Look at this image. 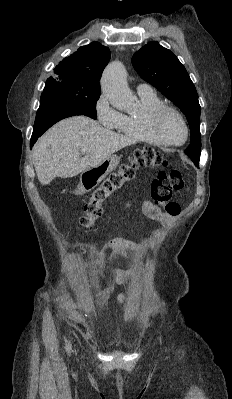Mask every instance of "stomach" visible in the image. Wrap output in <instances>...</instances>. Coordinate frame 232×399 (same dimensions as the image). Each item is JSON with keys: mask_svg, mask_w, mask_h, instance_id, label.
<instances>
[{"mask_svg": "<svg viewBox=\"0 0 232 399\" xmlns=\"http://www.w3.org/2000/svg\"><path fill=\"white\" fill-rule=\"evenodd\" d=\"M120 158L118 156H108L105 160H102L101 164L94 166L91 170L82 172L80 176V188L82 192H90L93 188H96L110 172L115 170L118 166Z\"/></svg>", "mask_w": 232, "mask_h": 399, "instance_id": "obj_1", "label": "stomach"}]
</instances>
